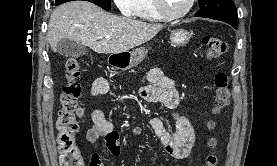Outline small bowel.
Returning a JSON list of instances; mask_svg holds the SVG:
<instances>
[{"label": "small bowel", "instance_id": "1", "mask_svg": "<svg viewBox=\"0 0 277 166\" xmlns=\"http://www.w3.org/2000/svg\"><path fill=\"white\" fill-rule=\"evenodd\" d=\"M150 85L144 86L140 90V97L146 102L160 103L168 109H176L180 103V96L174 86L172 79L165 76L160 69H153L148 73ZM111 89V83L104 77L94 80L90 93L92 96L107 94ZM85 113L84 108L78 110V115ZM92 127L86 133V140L94 144L99 138H104L109 152L115 156H120L119 134L114 129L112 123L107 120L103 111L99 108L93 110L91 114ZM174 130L168 131L163 120L159 117L151 119L150 124L156 136L160 140L165 152L177 160H185L191 153L195 143V131L191 122L178 114L174 115ZM132 136L141 134L140 127H134ZM90 166H104L102 156L99 153L91 155Z\"/></svg>", "mask_w": 277, "mask_h": 166}]
</instances>
